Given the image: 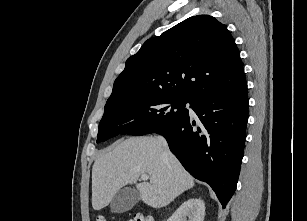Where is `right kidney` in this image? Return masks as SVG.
<instances>
[{"label": "right kidney", "mask_w": 307, "mask_h": 221, "mask_svg": "<svg viewBox=\"0 0 307 221\" xmlns=\"http://www.w3.org/2000/svg\"><path fill=\"white\" fill-rule=\"evenodd\" d=\"M204 216V201L200 198H190L182 203L167 221H204Z\"/></svg>", "instance_id": "right-kidney-1"}]
</instances>
